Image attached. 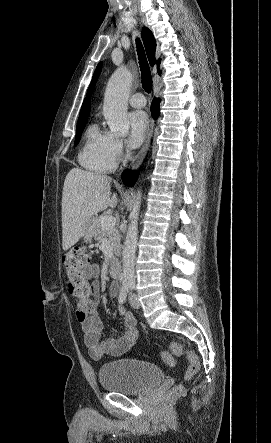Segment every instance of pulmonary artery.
<instances>
[{"label": "pulmonary artery", "mask_w": 271, "mask_h": 443, "mask_svg": "<svg viewBox=\"0 0 271 443\" xmlns=\"http://www.w3.org/2000/svg\"><path fill=\"white\" fill-rule=\"evenodd\" d=\"M129 104L135 108H142L146 105V98L142 93H134L129 97Z\"/></svg>", "instance_id": "pulmonary-artery-1"}]
</instances>
